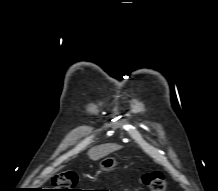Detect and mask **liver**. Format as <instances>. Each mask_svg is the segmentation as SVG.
<instances>
[{"mask_svg":"<svg viewBox=\"0 0 218 191\" xmlns=\"http://www.w3.org/2000/svg\"><path fill=\"white\" fill-rule=\"evenodd\" d=\"M121 146L116 144H102L99 146H95L88 151V156L92 160H98L116 150H119Z\"/></svg>","mask_w":218,"mask_h":191,"instance_id":"6515ba94","label":"liver"}]
</instances>
